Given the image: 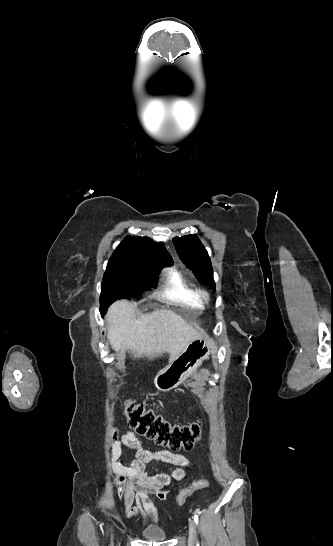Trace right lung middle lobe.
I'll use <instances>...</instances> for the list:
<instances>
[{"label": "right lung middle lobe", "mask_w": 333, "mask_h": 546, "mask_svg": "<svg viewBox=\"0 0 333 546\" xmlns=\"http://www.w3.org/2000/svg\"><path fill=\"white\" fill-rule=\"evenodd\" d=\"M142 273L128 271L121 263L109 261L101 284L100 305L101 312H105L110 304L120 298L136 297L137 290L134 281L139 280L141 285L156 287L157 279Z\"/></svg>", "instance_id": "1"}]
</instances>
